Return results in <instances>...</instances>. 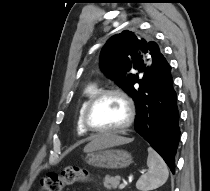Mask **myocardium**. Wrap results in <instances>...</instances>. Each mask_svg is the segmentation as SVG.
Returning a JSON list of instances; mask_svg holds the SVG:
<instances>
[{"instance_id": "1", "label": "myocardium", "mask_w": 210, "mask_h": 191, "mask_svg": "<svg viewBox=\"0 0 210 191\" xmlns=\"http://www.w3.org/2000/svg\"><path fill=\"white\" fill-rule=\"evenodd\" d=\"M107 95H116L124 101L127 107V118H126V121L122 125L116 128H109V129L96 128L90 122V113L94 105L101 98ZM134 118H135V106L132 99L124 91L120 89H116V88H111V89H105V90L97 92L89 100L82 114V123H83L84 128L89 132L97 133V134H115V133H120L126 130L127 128H129L132 125Z\"/></svg>"}]
</instances>
